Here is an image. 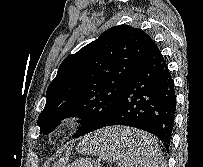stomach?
I'll list each match as a JSON object with an SVG mask.
<instances>
[{"instance_id":"stomach-1","label":"stomach","mask_w":203,"mask_h":167,"mask_svg":"<svg viewBox=\"0 0 203 167\" xmlns=\"http://www.w3.org/2000/svg\"><path fill=\"white\" fill-rule=\"evenodd\" d=\"M107 130V129H106ZM104 130V131H101V132H98L96 133L98 136H101L103 137L102 135H105L107 134V131ZM104 140H112L113 138L108 136V137H103ZM82 152H86L84 149H82ZM67 167H98V166H94L93 165V162L89 159H81V160H78L76 162H74L73 164H71L70 166H67Z\"/></svg>"}]
</instances>
